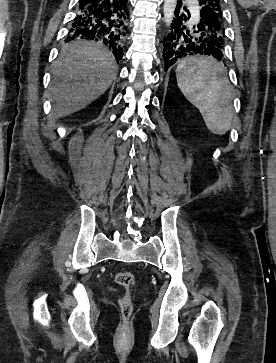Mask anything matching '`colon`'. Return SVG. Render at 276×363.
<instances>
[{"label":"colon","instance_id":"colon-1","mask_svg":"<svg viewBox=\"0 0 276 363\" xmlns=\"http://www.w3.org/2000/svg\"><path fill=\"white\" fill-rule=\"evenodd\" d=\"M115 282L124 288L125 293L118 301V309L123 319H128L132 313L131 290L135 286L134 275L129 271H119L115 274Z\"/></svg>","mask_w":276,"mask_h":363}]
</instances>
